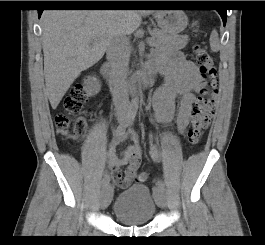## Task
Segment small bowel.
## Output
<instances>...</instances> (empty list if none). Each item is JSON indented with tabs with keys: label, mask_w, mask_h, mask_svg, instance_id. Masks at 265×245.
<instances>
[{
	"label": "small bowel",
	"mask_w": 265,
	"mask_h": 245,
	"mask_svg": "<svg viewBox=\"0 0 265 245\" xmlns=\"http://www.w3.org/2000/svg\"><path fill=\"white\" fill-rule=\"evenodd\" d=\"M148 64L166 75L165 83L153 97L154 119L157 123L168 124L176 118L178 130L185 132L197 99L196 92L201 85L198 69L179 53L170 56L155 55L149 59ZM124 138L125 133L114 138L107 153L106 169V176L122 189L133 183L142 154L140 140L133 134L134 142L120 156L117 155L115 146ZM122 166H126L124 171Z\"/></svg>",
	"instance_id": "1"
}]
</instances>
